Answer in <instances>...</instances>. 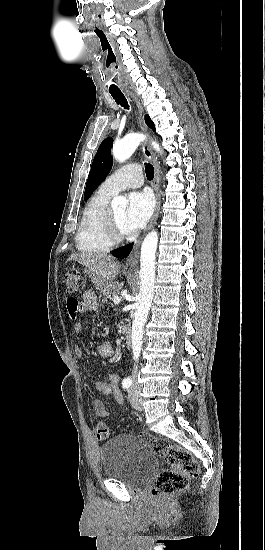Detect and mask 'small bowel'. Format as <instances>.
I'll return each mask as SVG.
<instances>
[{"instance_id":"small-bowel-1","label":"small bowel","mask_w":265,"mask_h":550,"mask_svg":"<svg viewBox=\"0 0 265 550\" xmlns=\"http://www.w3.org/2000/svg\"><path fill=\"white\" fill-rule=\"evenodd\" d=\"M72 301H74V299H70L68 303ZM82 304L83 306L81 308V311L93 312L97 308V304H98L96 293L91 289L85 291L82 296ZM68 311L71 315H73V310L69 306H68ZM73 330L75 335H79L82 332L83 327L80 323H76L74 325ZM74 351L76 356L79 359H84L83 352L78 345H75ZM96 353L101 358H111L114 354V350L110 343L105 342L97 345ZM118 383H119V374L111 373L108 375L106 380H99L94 382L93 387L97 391L103 393L104 395L112 394L114 396L115 402L118 404H122L123 396L119 391ZM93 409L95 414L99 417H106L109 415V411L105 408L104 404L99 400H95L93 402Z\"/></svg>"}]
</instances>
